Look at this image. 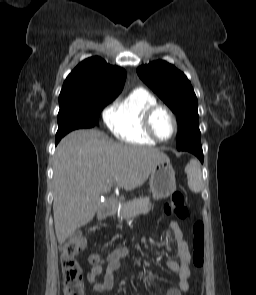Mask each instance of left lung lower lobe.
I'll list each match as a JSON object with an SVG mask.
<instances>
[{
  "label": "left lung lower lobe",
  "mask_w": 256,
  "mask_h": 295,
  "mask_svg": "<svg viewBox=\"0 0 256 295\" xmlns=\"http://www.w3.org/2000/svg\"><path fill=\"white\" fill-rule=\"evenodd\" d=\"M186 151H189L196 155L199 158V160L203 163V151L201 146L189 147L186 149Z\"/></svg>",
  "instance_id": "left-lung-lower-lobe-1"
}]
</instances>
